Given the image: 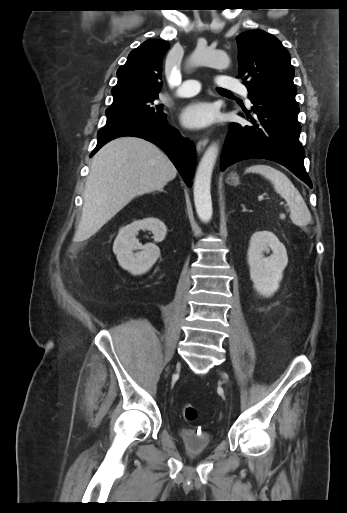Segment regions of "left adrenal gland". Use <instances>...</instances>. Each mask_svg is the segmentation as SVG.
<instances>
[{"mask_svg":"<svg viewBox=\"0 0 347 513\" xmlns=\"http://www.w3.org/2000/svg\"><path fill=\"white\" fill-rule=\"evenodd\" d=\"M241 206H242V212H246V211H247V209H246L245 205H244V204H241Z\"/></svg>","mask_w":347,"mask_h":513,"instance_id":"obj_1","label":"left adrenal gland"}]
</instances>
